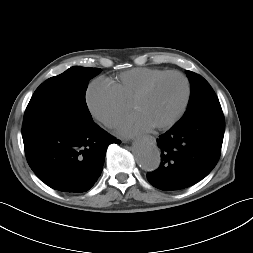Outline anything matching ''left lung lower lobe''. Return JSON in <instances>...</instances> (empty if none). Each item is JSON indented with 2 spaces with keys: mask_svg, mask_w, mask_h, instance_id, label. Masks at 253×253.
Returning <instances> with one entry per match:
<instances>
[{
  "mask_svg": "<svg viewBox=\"0 0 253 253\" xmlns=\"http://www.w3.org/2000/svg\"><path fill=\"white\" fill-rule=\"evenodd\" d=\"M224 130V119L175 123L157 139L161 165L147 174L150 184L172 191L202 180L219 160Z\"/></svg>",
  "mask_w": 253,
  "mask_h": 253,
  "instance_id": "left-lung-lower-lobe-1",
  "label": "left lung lower lobe"
}]
</instances>
